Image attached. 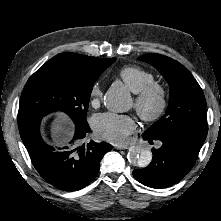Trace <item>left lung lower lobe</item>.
Returning a JSON list of instances; mask_svg holds the SVG:
<instances>
[{
  "instance_id": "1",
  "label": "left lung lower lobe",
  "mask_w": 221,
  "mask_h": 221,
  "mask_svg": "<svg viewBox=\"0 0 221 221\" xmlns=\"http://www.w3.org/2000/svg\"><path fill=\"white\" fill-rule=\"evenodd\" d=\"M142 137L149 143L153 140L162 142L159 149H152V162L143 169L133 171L140 183L151 188H165L179 182L194 166L201 149L182 139H154L146 134Z\"/></svg>"
}]
</instances>
